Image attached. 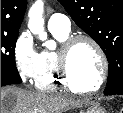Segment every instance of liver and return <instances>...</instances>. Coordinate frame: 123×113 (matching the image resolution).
<instances>
[{
    "label": "liver",
    "mask_w": 123,
    "mask_h": 113,
    "mask_svg": "<svg viewBox=\"0 0 123 113\" xmlns=\"http://www.w3.org/2000/svg\"><path fill=\"white\" fill-rule=\"evenodd\" d=\"M83 102L60 94L34 93L18 87H1V113H63Z\"/></svg>",
    "instance_id": "1"
}]
</instances>
